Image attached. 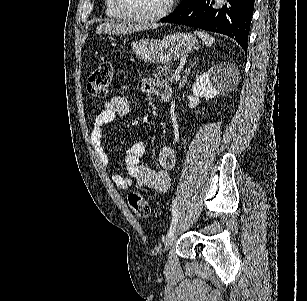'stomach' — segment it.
I'll return each instance as SVG.
<instances>
[{"mask_svg":"<svg viewBox=\"0 0 307 301\" xmlns=\"http://www.w3.org/2000/svg\"><path fill=\"white\" fill-rule=\"evenodd\" d=\"M197 40L191 32H172L164 38H139L131 44V50L143 62L172 64L173 60L196 48Z\"/></svg>","mask_w":307,"mask_h":301,"instance_id":"0dacf381","label":"stomach"}]
</instances>
